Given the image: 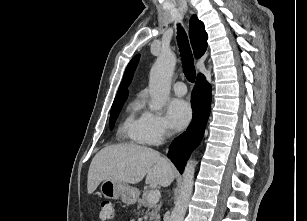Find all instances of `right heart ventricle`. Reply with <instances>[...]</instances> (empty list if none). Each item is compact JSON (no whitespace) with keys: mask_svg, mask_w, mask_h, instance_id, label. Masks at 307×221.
<instances>
[{"mask_svg":"<svg viewBox=\"0 0 307 221\" xmlns=\"http://www.w3.org/2000/svg\"><path fill=\"white\" fill-rule=\"evenodd\" d=\"M140 107L141 103L139 101L130 103L128 114L119 128V135L132 143L147 144L142 116L138 115Z\"/></svg>","mask_w":307,"mask_h":221,"instance_id":"1","label":"right heart ventricle"}]
</instances>
